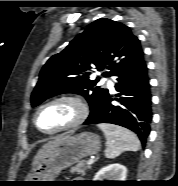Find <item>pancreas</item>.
Listing matches in <instances>:
<instances>
[{"label":"pancreas","mask_w":178,"mask_h":186,"mask_svg":"<svg viewBox=\"0 0 178 186\" xmlns=\"http://www.w3.org/2000/svg\"><path fill=\"white\" fill-rule=\"evenodd\" d=\"M90 168V165L86 166L85 161H80L76 166L71 168L70 172L73 174L85 175L86 171Z\"/></svg>","instance_id":"obj_1"}]
</instances>
